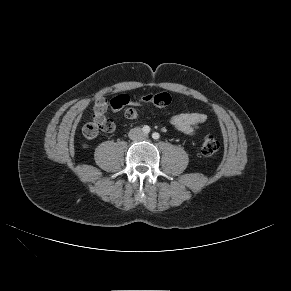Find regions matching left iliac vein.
Returning a JSON list of instances; mask_svg holds the SVG:
<instances>
[{"label":"left iliac vein","mask_w":291,"mask_h":291,"mask_svg":"<svg viewBox=\"0 0 291 291\" xmlns=\"http://www.w3.org/2000/svg\"><path fill=\"white\" fill-rule=\"evenodd\" d=\"M147 137V135H144V138H146Z\"/></svg>","instance_id":"left-iliac-vein-1"}]
</instances>
